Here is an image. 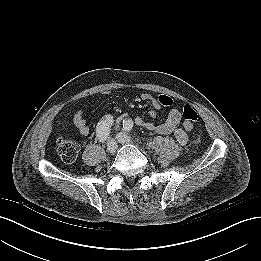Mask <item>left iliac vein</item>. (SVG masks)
<instances>
[{
  "mask_svg": "<svg viewBox=\"0 0 261 261\" xmlns=\"http://www.w3.org/2000/svg\"><path fill=\"white\" fill-rule=\"evenodd\" d=\"M117 141L119 143L125 144V143H132V139L130 136H128L127 134L123 133V132H119L116 135Z\"/></svg>",
  "mask_w": 261,
  "mask_h": 261,
  "instance_id": "left-iliac-vein-1",
  "label": "left iliac vein"
}]
</instances>
